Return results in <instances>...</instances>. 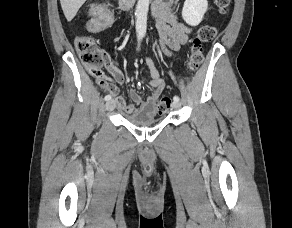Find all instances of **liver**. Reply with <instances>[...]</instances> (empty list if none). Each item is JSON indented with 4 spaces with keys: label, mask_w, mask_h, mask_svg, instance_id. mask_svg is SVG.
<instances>
[{
    "label": "liver",
    "mask_w": 292,
    "mask_h": 228,
    "mask_svg": "<svg viewBox=\"0 0 292 228\" xmlns=\"http://www.w3.org/2000/svg\"><path fill=\"white\" fill-rule=\"evenodd\" d=\"M86 0H60L63 13L68 22H70L77 14L80 7Z\"/></svg>",
    "instance_id": "6515ba94"
}]
</instances>
